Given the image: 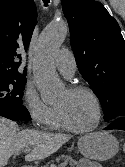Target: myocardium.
I'll list each match as a JSON object with an SVG mask.
<instances>
[{"instance_id": "obj_1", "label": "myocardium", "mask_w": 125, "mask_h": 167, "mask_svg": "<svg viewBox=\"0 0 125 167\" xmlns=\"http://www.w3.org/2000/svg\"><path fill=\"white\" fill-rule=\"evenodd\" d=\"M67 91L71 94H77V93L88 94L93 99L96 105L97 118L93 125L87 128H77L69 122L64 112L59 107L56 106V111L58 113L62 127L68 131H71L73 133H78V134L88 133L98 128L102 120V105H101V101L99 97L97 96V94L91 88L84 86V85H73L69 87Z\"/></svg>"}]
</instances>
